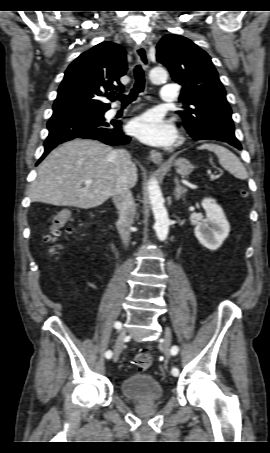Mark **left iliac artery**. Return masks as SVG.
<instances>
[{"label":"left iliac artery","mask_w":270,"mask_h":453,"mask_svg":"<svg viewBox=\"0 0 270 453\" xmlns=\"http://www.w3.org/2000/svg\"><path fill=\"white\" fill-rule=\"evenodd\" d=\"M178 351H179L178 347L173 346L171 349V354L175 356L178 353ZM171 373L174 377H177L179 375V369L176 367H173L171 370Z\"/></svg>","instance_id":"obj_1"}]
</instances>
